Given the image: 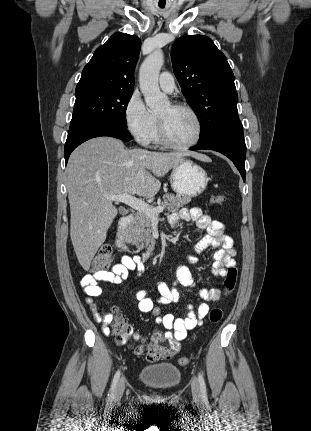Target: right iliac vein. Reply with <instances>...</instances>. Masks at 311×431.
<instances>
[{
    "label": "right iliac vein",
    "mask_w": 311,
    "mask_h": 431,
    "mask_svg": "<svg viewBox=\"0 0 311 431\" xmlns=\"http://www.w3.org/2000/svg\"><path fill=\"white\" fill-rule=\"evenodd\" d=\"M124 389H125V382H124V379L122 378L118 382V385L116 387V391H115V394H114V399L116 401L121 399V397L123 395V392H124Z\"/></svg>",
    "instance_id": "63e3f726"
}]
</instances>
